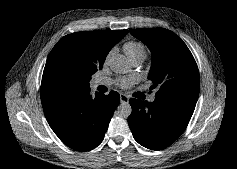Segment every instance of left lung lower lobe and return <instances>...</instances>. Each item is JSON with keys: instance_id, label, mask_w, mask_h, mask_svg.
I'll use <instances>...</instances> for the list:
<instances>
[{"instance_id": "left-lung-lower-lobe-1", "label": "left lung lower lobe", "mask_w": 237, "mask_h": 169, "mask_svg": "<svg viewBox=\"0 0 237 169\" xmlns=\"http://www.w3.org/2000/svg\"><path fill=\"white\" fill-rule=\"evenodd\" d=\"M132 113L128 117L134 139L142 146L161 150L171 145L187 127L196 103L181 99H158L142 102L129 100Z\"/></svg>"}]
</instances>
